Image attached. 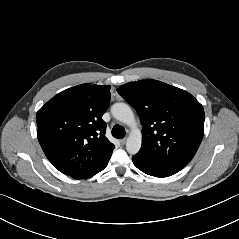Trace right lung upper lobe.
<instances>
[{
	"instance_id": "cb5924a9",
	"label": "right lung upper lobe",
	"mask_w": 239,
	"mask_h": 239,
	"mask_svg": "<svg viewBox=\"0 0 239 239\" xmlns=\"http://www.w3.org/2000/svg\"><path fill=\"white\" fill-rule=\"evenodd\" d=\"M109 102V85L81 84L60 92L37 112L39 143L60 172L83 179L106 167L115 148L102 120Z\"/></svg>"
}]
</instances>
